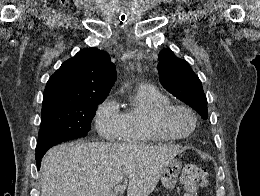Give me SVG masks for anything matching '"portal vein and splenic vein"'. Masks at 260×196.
Segmentation results:
<instances>
[{
	"label": "portal vein and splenic vein",
	"mask_w": 260,
	"mask_h": 196,
	"mask_svg": "<svg viewBox=\"0 0 260 196\" xmlns=\"http://www.w3.org/2000/svg\"><path fill=\"white\" fill-rule=\"evenodd\" d=\"M123 190H125L124 186H115L114 188V192H116V194H118V192H123Z\"/></svg>",
	"instance_id": "obj_1"
}]
</instances>
